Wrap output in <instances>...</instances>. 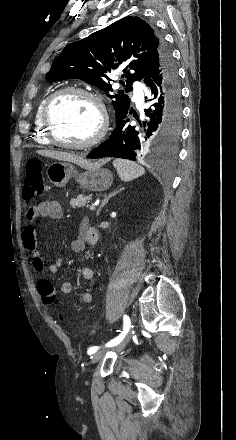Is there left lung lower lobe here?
Returning a JSON list of instances; mask_svg holds the SVG:
<instances>
[{
    "instance_id": "obj_1",
    "label": "left lung lower lobe",
    "mask_w": 236,
    "mask_h": 440,
    "mask_svg": "<svg viewBox=\"0 0 236 440\" xmlns=\"http://www.w3.org/2000/svg\"><path fill=\"white\" fill-rule=\"evenodd\" d=\"M143 82L151 94L146 102L142 123L129 124L131 110L116 118V128L108 140L91 151L87 158L118 157L135 160L148 150L171 147L180 133L182 120L181 90L171 53H162L151 61Z\"/></svg>"
}]
</instances>
